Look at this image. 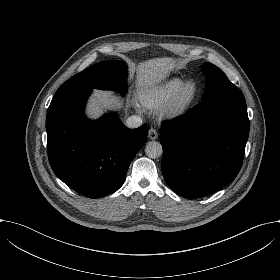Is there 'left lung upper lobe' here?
<instances>
[{
    "label": "left lung upper lobe",
    "mask_w": 280,
    "mask_h": 280,
    "mask_svg": "<svg viewBox=\"0 0 280 280\" xmlns=\"http://www.w3.org/2000/svg\"><path fill=\"white\" fill-rule=\"evenodd\" d=\"M201 70L206 77V87L202 101L224 92L237 89V87L228 80L226 75L217 66L211 63H204L201 66Z\"/></svg>",
    "instance_id": "obj_1"
}]
</instances>
